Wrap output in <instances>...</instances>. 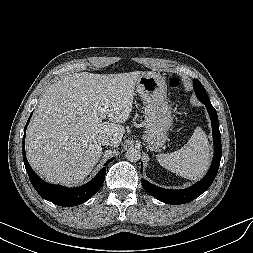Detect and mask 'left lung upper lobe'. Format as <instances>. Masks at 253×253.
Here are the masks:
<instances>
[{"label":"left lung upper lobe","instance_id":"5c2ea615","mask_svg":"<svg viewBox=\"0 0 253 253\" xmlns=\"http://www.w3.org/2000/svg\"><path fill=\"white\" fill-rule=\"evenodd\" d=\"M193 86H194V90H195L197 98L202 103H204V102H210V100H209V98L207 96V93L205 91V88L202 86V84L198 80H195L193 82Z\"/></svg>","mask_w":253,"mask_h":253}]
</instances>
